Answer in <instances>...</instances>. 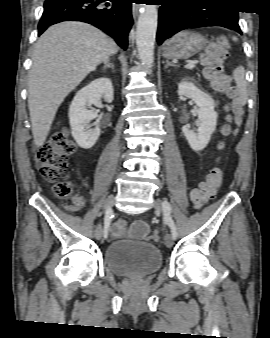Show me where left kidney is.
<instances>
[{"label":"left kidney","instance_id":"1","mask_svg":"<svg viewBox=\"0 0 270 338\" xmlns=\"http://www.w3.org/2000/svg\"><path fill=\"white\" fill-rule=\"evenodd\" d=\"M178 95L192 99L198 107V128L190 129V125H185L182 127V132L190 147L196 152L201 151L208 145L216 129L218 114L214 110L215 102L210 95L201 91L194 83L187 81L179 83Z\"/></svg>","mask_w":270,"mask_h":338}]
</instances>
